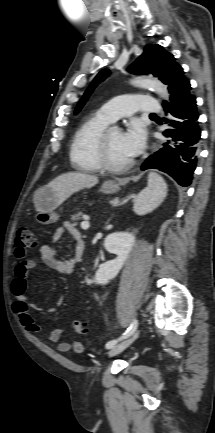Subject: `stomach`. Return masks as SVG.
<instances>
[{
	"mask_svg": "<svg viewBox=\"0 0 215 433\" xmlns=\"http://www.w3.org/2000/svg\"><path fill=\"white\" fill-rule=\"evenodd\" d=\"M119 190V185L115 182H106L100 191L104 194H113ZM34 203L38 211L37 221L42 225L56 222L59 215L56 212L60 201L52 188L46 186L39 188L34 194Z\"/></svg>",
	"mask_w": 215,
	"mask_h": 433,
	"instance_id": "stomach-1",
	"label": "stomach"
}]
</instances>
